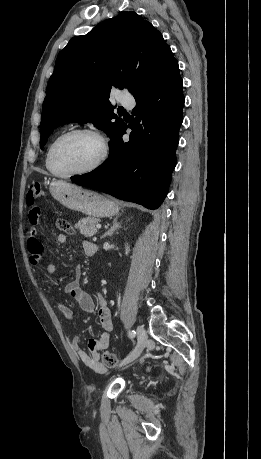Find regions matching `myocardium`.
Listing matches in <instances>:
<instances>
[{
    "label": "myocardium",
    "instance_id": "obj_1",
    "mask_svg": "<svg viewBox=\"0 0 261 459\" xmlns=\"http://www.w3.org/2000/svg\"><path fill=\"white\" fill-rule=\"evenodd\" d=\"M77 134L91 136L98 142V144L100 146V152H99L98 157L96 158V160L92 164H90L86 168H83V169L78 170V171H74V172H70V173H58V172L54 171L52 169V167H51V157H52V153H53V150H54L55 146L63 138L71 136V135H77ZM107 156H108V145H107L106 141L104 140V138L101 136V134H99L97 131L89 129V128H73V129L67 130L65 132H62L61 134H59L51 142V144H50V146L48 148V151H47L46 167H47L48 171L52 175H54L56 177L70 178V177L85 175V174H89V173L94 172L95 170H97L104 163V161L106 160Z\"/></svg>",
    "mask_w": 261,
    "mask_h": 459
}]
</instances>
